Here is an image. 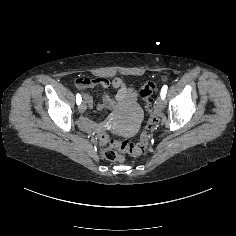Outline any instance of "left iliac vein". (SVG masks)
Returning <instances> with one entry per match:
<instances>
[{"mask_svg":"<svg viewBox=\"0 0 236 236\" xmlns=\"http://www.w3.org/2000/svg\"><path fill=\"white\" fill-rule=\"evenodd\" d=\"M165 107V102L164 99H162V97H158L156 100V110H163Z\"/></svg>","mask_w":236,"mask_h":236,"instance_id":"left-iliac-vein-1","label":"left iliac vein"}]
</instances>
